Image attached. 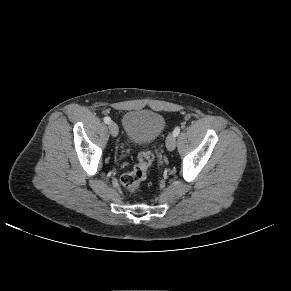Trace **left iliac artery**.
I'll return each instance as SVG.
<instances>
[{
  "instance_id": "1",
  "label": "left iliac artery",
  "mask_w": 291,
  "mask_h": 291,
  "mask_svg": "<svg viewBox=\"0 0 291 291\" xmlns=\"http://www.w3.org/2000/svg\"><path fill=\"white\" fill-rule=\"evenodd\" d=\"M179 133H180V128H179V127H176V128L174 129V131H173V135H174L175 137H177V136L179 135Z\"/></svg>"
}]
</instances>
